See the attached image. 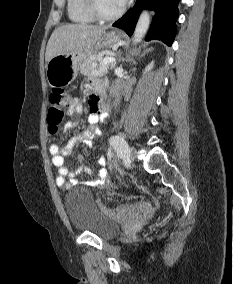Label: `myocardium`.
<instances>
[{
    "instance_id": "1",
    "label": "myocardium",
    "mask_w": 233,
    "mask_h": 284,
    "mask_svg": "<svg viewBox=\"0 0 233 284\" xmlns=\"http://www.w3.org/2000/svg\"><path fill=\"white\" fill-rule=\"evenodd\" d=\"M87 1V7L90 13L94 16L97 20L102 21H110L114 20L118 17H120L124 12V7L121 6L118 10L112 13H106L104 12L99 4V0H86Z\"/></svg>"
}]
</instances>
